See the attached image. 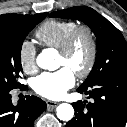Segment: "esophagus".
I'll list each match as a JSON object with an SVG mask.
<instances>
[{"label": "esophagus", "mask_w": 127, "mask_h": 127, "mask_svg": "<svg viewBox=\"0 0 127 127\" xmlns=\"http://www.w3.org/2000/svg\"><path fill=\"white\" fill-rule=\"evenodd\" d=\"M46 104H47V107H48L49 109H53V108H55V107L58 105L57 102H54V101H51V100H47V101H46Z\"/></svg>", "instance_id": "obj_1"}]
</instances>
